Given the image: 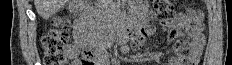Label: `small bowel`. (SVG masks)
<instances>
[{
  "instance_id": "obj_1",
  "label": "small bowel",
  "mask_w": 232,
  "mask_h": 65,
  "mask_svg": "<svg viewBox=\"0 0 232 65\" xmlns=\"http://www.w3.org/2000/svg\"><path fill=\"white\" fill-rule=\"evenodd\" d=\"M141 16L146 24L153 18V13L143 6L140 7ZM170 33V40H176L182 37H188L191 39V51L188 56L184 59H180L177 56V59L166 65H197L201 52L205 44V36L202 32L203 25L202 23L193 27L185 14H179L174 21L168 27ZM153 29H141V33H137L134 46L137 47L142 44L143 38H149L150 34H153ZM91 44L89 33H87L86 28L79 22L74 23V32H73V42L68 44L65 48L66 55L73 60V65H78V53L79 49L87 47ZM97 65H108V56L105 50H101L97 53Z\"/></svg>"
}]
</instances>
